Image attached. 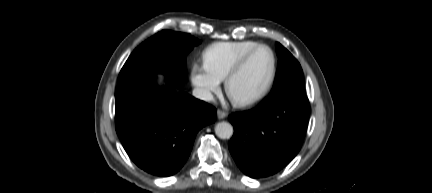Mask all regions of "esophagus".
<instances>
[{
  "mask_svg": "<svg viewBox=\"0 0 432 193\" xmlns=\"http://www.w3.org/2000/svg\"><path fill=\"white\" fill-rule=\"evenodd\" d=\"M227 116L226 112L222 111V110H217V117L218 119H224Z\"/></svg>",
  "mask_w": 432,
  "mask_h": 193,
  "instance_id": "obj_1",
  "label": "esophagus"
}]
</instances>
